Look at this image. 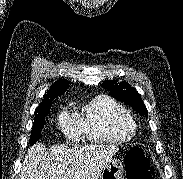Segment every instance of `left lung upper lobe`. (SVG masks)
Returning <instances> with one entry per match:
<instances>
[{"mask_svg":"<svg viewBox=\"0 0 183 179\" xmlns=\"http://www.w3.org/2000/svg\"><path fill=\"white\" fill-rule=\"evenodd\" d=\"M103 87L110 91V95L119 101L130 105L139 114L147 116V109L135 88L127 82L117 83L116 80H106L102 83Z\"/></svg>","mask_w":183,"mask_h":179,"instance_id":"1","label":"left lung upper lobe"}]
</instances>
